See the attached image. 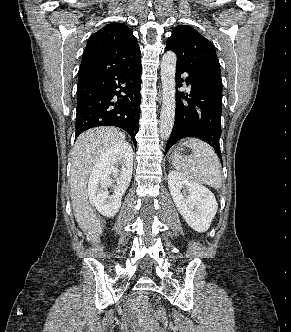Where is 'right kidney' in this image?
<instances>
[{"label":"right kidney","mask_w":291,"mask_h":332,"mask_svg":"<svg viewBox=\"0 0 291 332\" xmlns=\"http://www.w3.org/2000/svg\"><path fill=\"white\" fill-rule=\"evenodd\" d=\"M119 166L121 168H119ZM133 167V152L126 142L117 143L100 156L94 165L88 182L91 204L105 217H113L121 207V199L130 184ZM113 175L117 180L113 195L107 188L112 186Z\"/></svg>","instance_id":"right-kidney-1"}]
</instances>
